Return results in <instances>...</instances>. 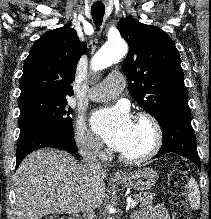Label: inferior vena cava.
Instances as JSON below:
<instances>
[{
    "instance_id": "obj_1",
    "label": "inferior vena cava",
    "mask_w": 211,
    "mask_h": 219,
    "mask_svg": "<svg viewBox=\"0 0 211 219\" xmlns=\"http://www.w3.org/2000/svg\"><path fill=\"white\" fill-rule=\"evenodd\" d=\"M90 146L81 149L80 153L83 157L84 166L91 172L102 170L101 164L98 162L97 156V148L96 150L92 151L91 148H94L92 145L91 140L88 141ZM83 218L84 219H96L95 213L91 207H86L83 211Z\"/></svg>"
}]
</instances>
